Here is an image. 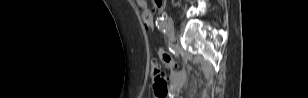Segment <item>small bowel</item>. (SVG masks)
Segmentation results:
<instances>
[{"instance_id":"c3829d8e","label":"small bowel","mask_w":308,"mask_h":98,"mask_svg":"<svg viewBox=\"0 0 308 98\" xmlns=\"http://www.w3.org/2000/svg\"><path fill=\"white\" fill-rule=\"evenodd\" d=\"M137 4L138 6L141 8V9H149V5H148V2L146 0H137ZM162 7V2H154L153 5H152V8L153 9H160ZM150 10V9H149ZM151 15V14H150ZM144 16H142L143 18ZM144 22V20H143ZM152 24V22H151ZM166 80V79H165Z\"/></svg>"}]
</instances>
